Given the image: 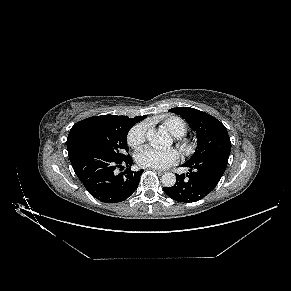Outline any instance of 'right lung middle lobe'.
Here are the masks:
<instances>
[{
	"mask_svg": "<svg viewBox=\"0 0 291 291\" xmlns=\"http://www.w3.org/2000/svg\"><path fill=\"white\" fill-rule=\"evenodd\" d=\"M129 125L95 126L83 131L76 139L77 146L84 145L105 152L117 159L127 157Z\"/></svg>",
	"mask_w": 291,
	"mask_h": 291,
	"instance_id": "obj_1",
	"label": "right lung middle lobe"
}]
</instances>
